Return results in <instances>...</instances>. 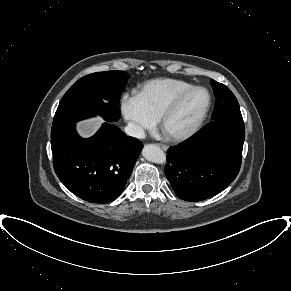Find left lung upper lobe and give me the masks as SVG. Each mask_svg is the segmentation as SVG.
I'll return each instance as SVG.
<instances>
[{"mask_svg":"<svg viewBox=\"0 0 291 291\" xmlns=\"http://www.w3.org/2000/svg\"><path fill=\"white\" fill-rule=\"evenodd\" d=\"M211 85L216 98L212 120L219 117L242 118L238 101L231 90L214 80H211Z\"/></svg>","mask_w":291,"mask_h":291,"instance_id":"left-lung-upper-lobe-1","label":"left lung upper lobe"}]
</instances>
